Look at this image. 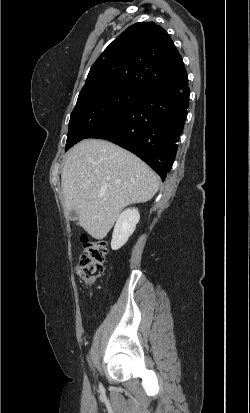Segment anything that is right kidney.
Wrapping results in <instances>:
<instances>
[{
	"instance_id": "right-kidney-1",
	"label": "right kidney",
	"mask_w": 250,
	"mask_h": 413,
	"mask_svg": "<svg viewBox=\"0 0 250 413\" xmlns=\"http://www.w3.org/2000/svg\"><path fill=\"white\" fill-rule=\"evenodd\" d=\"M139 219L140 214L137 208H128L120 214L113 230L112 250L120 249L127 242L133 234Z\"/></svg>"
}]
</instances>
